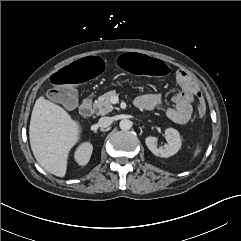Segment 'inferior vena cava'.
I'll use <instances>...</instances> for the list:
<instances>
[{
  "label": "inferior vena cava",
  "instance_id": "1",
  "mask_svg": "<svg viewBox=\"0 0 241 241\" xmlns=\"http://www.w3.org/2000/svg\"><path fill=\"white\" fill-rule=\"evenodd\" d=\"M112 123V118L111 117H101L98 121V126L101 128H106L110 126Z\"/></svg>",
  "mask_w": 241,
  "mask_h": 241
}]
</instances>
